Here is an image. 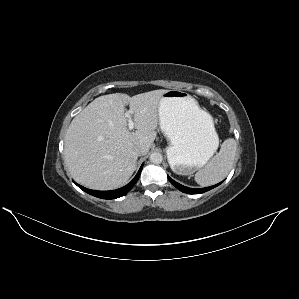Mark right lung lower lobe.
<instances>
[{
	"label": "right lung lower lobe",
	"mask_w": 299,
	"mask_h": 299,
	"mask_svg": "<svg viewBox=\"0 0 299 299\" xmlns=\"http://www.w3.org/2000/svg\"><path fill=\"white\" fill-rule=\"evenodd\" d=\"M142 168H143V164L140 167L137 175L134 177V179L129 184H127L126 186H124L122 188L116 189V190H111V191H96V190L87 189V188H85V187H83V186H81V185H79V184H77L75 182L74 183L79 188H81L83 191H85L88 194L93 195L95 197L102 198V199H115V198H119L121 196H124L125 194H127L131 190V188L135 185V183L139 179V176H140Z\"/></svg>",
	"instance_id": "right-lung-lower-lobe-1"
}]
</instances>
